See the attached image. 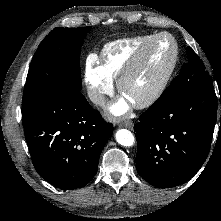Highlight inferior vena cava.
I'll list each match as a JSON object with an SVG mask.
<instances>
[{"label":"inferior vena cava","instance_id":"inferior-vena-cava-1","mask_svg":"<svg viewBox=\"0 0 221 221\" xmlns=\"http://www.w3.org/2000/svg\"><path fill=\"white\" fill-rule=\"evenodd\" d=\"M88 97L94 104H97L99 106H104L106 104L105 96L96 91H89Z\"/></svg>","mask_w":221,"mask_h":221}]
</instances>
